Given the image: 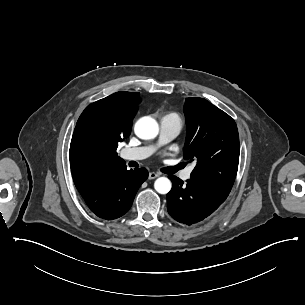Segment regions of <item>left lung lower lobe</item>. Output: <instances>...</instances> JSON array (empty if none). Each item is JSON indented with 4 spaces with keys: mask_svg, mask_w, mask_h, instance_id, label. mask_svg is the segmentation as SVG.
I'll return each instance as SVG.
<instances>
[{
    "mask_svg": "<svg viewBox=\"0 0 305 305\" xmlns=\"http://www.w3.org/2000/svg\"><path fill=\"white\" fill-rule=\"evenodd\" d=\"M173 183L167 194V210L176 221L191 225L212 214L227 198L229 189L208 186L192 179L186 185L176 176H169Z\"/></svg>",
    "mask_w": 305,
    "mask_h": 305,
    "instance_id": "left-lung-lower-lobe-1",
    "label": "left lung lower lobe"
}]
</instances>
